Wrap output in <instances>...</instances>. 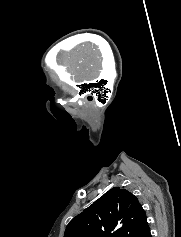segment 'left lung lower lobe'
I'll return each mask as SVG.
<instances>
[{
  "label": "left lung lower lobe",
  "mask_w": 181,
  "mask_h": 237,
  "mask_svg": "<svg viewBox=\"0 0 181 237\" xmlns=\"http://www.w3.org/2000/svg\"><path fill=\"white\" fill-rule=\"evenodd\" d=\"M139 237H152L149 227Z\"/></svg>",
  "instance_id": "1"
}]
</instances>
